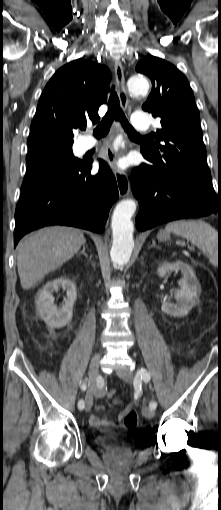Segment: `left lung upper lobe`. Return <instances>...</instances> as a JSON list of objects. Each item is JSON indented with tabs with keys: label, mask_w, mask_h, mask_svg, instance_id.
<instances>
[{
	"label": "left lung upper lobe",
	"mask_w": 221,
	"mask_h": 510,
	"mask_svg": "<svg viewBox=\"0 0 221 510\" xmlns=\"http://www.w3.org/2000/svg\"><path fill=\"white\" fill-rule=\"evenodd\" d=\"M136 70L152 81L143 110L161 118L162 129L141 146L153 170L165 178L211 181L200 114L186 77L174 65L155 56L140 60Z\"/></svg>",
	"instance_id": "obj_1"
}]
</instances>
